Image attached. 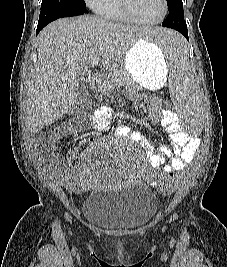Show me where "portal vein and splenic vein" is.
I'll list each match as a JSON object with an SVG mask.
<instances>
[{"instance_id": "obj_1", "label": "portal vein and splenic vein", "mask_w": 227, "mask_h": 267, "mask_svg": "<svg viewBox=\"0 0 227 267\" xmlns=\"http://www.w3.org/2000/svg\"><path fill=\"white\" fill-rule=\"evenodd\" d=\"M99 63V60L98 59H95L91 62V66H95Z\"/></svg>"}]
</instances>
